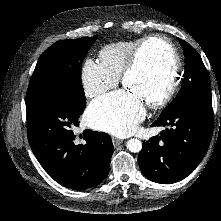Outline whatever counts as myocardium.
<instances>
[{
    "label": "myocardium",
    "mask_w": 221,
    "mask_h": 221,
    "mask_svg": "<svg viewBox=\"0 0 221 221\" xmlns=\"http://www.w3.org/2000/svg\"><path fill=\"white\" fill-rule=\"evenodd\" d=\"M154 41L164 42L168 46L171 56H172V60H173V69L170 74L169 81L165 90L161 94H159L152 102H149L146 104V106L149 107L150 109H159L165 106L174 95L177 89L178 79L180 77V72H181L180 55L178 53V50L175 44L169 37L157 34V35H152V36H147V37L142 38L132 49L128 58V62L125 65L120 75V82L123 86H125L126 79L134 71V69L137 66L141 51L149 43L154 42Z\"/></svg>",
    "instance_id": "1"
}]
</instances>
